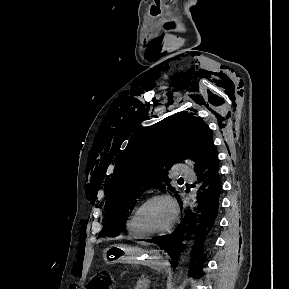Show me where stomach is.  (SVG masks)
I'll use <instances>...</instances> for the list:
<instances>
[{
    "mask_svg": "<svg viewBox=\"0 0 289 289\" xmlns=\"http://www.w3.org/2000/svg\"><path fill=\"white\" fill-rule=\"evenodd\" d=\"M103 259L107 264H143L155 269H161L164 264V259L158 252L146 251L124 244H114L104 249Z\"/></svg>",
    "mask_w": 289,
    "mask_h": 289,
    "instance_id": "1",
    "label": "stomach"
}]
</instances>
